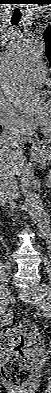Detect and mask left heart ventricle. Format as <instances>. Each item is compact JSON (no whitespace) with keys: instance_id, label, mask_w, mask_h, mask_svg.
<instances>
[{"instance_id":"left-heart-ventricle-1","label":"left heart ventricle","mask_w":51,"mask_h":393,"mask_svg":"<svg viewBox=\"0 0 51 393\" xmlns=\"http://www.w3.org/2000/svg\"><path fill=\"white\" fill-rule=\"evenodd\" d=\"M42 112H45V118L41 124L46 130H51V104H44L38 110V115H40Z\"/></svg>"}]
</instances>
